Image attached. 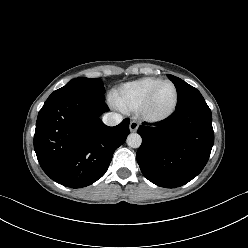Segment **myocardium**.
I'll use <instances>...</instances> for the list:
<instances>
[{
    "mask_svg": "<svg viewBox=\"0 0 248 248\" xmlns=\"http://www.w3.org/2000/svg\"><path fill=\"white\" fill-rule=\"evenodd\" d=\"M164 84H169L173 87V90H174L173 104L167 112L160 114V115H152L149 113L148 107L156 91L159 89L160 86ZM178 101H179V92H178L177 86L171 80H161L156 85H154L145 95V97L143 98L138 108V113L143 120L149 123H160V122H163L169 119L174 114L178 106Z\"/></svg>",
    "mask_w": 248,
    "mask_h": 248,
    "instance_id": "1",
    "label": "myocardium"
}]
</instances>
